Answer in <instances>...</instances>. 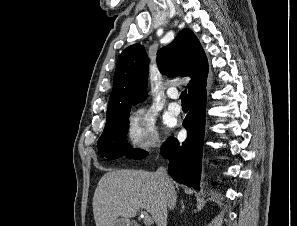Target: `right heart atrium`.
<instances>
[{
    "label": "right heart atrium",
    "mask_w": 297,
    "mask_h": 226,
    "mask_svg": "<svg viewBox=\"0 0 297 226\" xmlns=\"http://www.w3.org/2000/svg\"><path fill=\"white\" fill-rule=\"evenodd\" d=\"M128 138L130 144L142 152L153 151L159 146V133L149 111L138 109L133 113L129 122Z\"/></svg>",
    "instance_id": "obj_1"
}]
</instances>
